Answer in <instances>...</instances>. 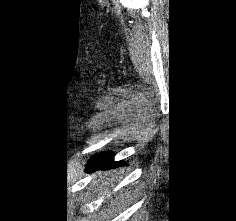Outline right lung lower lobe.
Segmentation results:
<instances>
[{
    "label": "right lung lower lobe",
    "mask_w": 236,
    "mask_h": 221,
    "mask_svg": "<svg viewBox=\"0 0 236 221\" xmlns=\"http://www.w3.org/2000/svg\"><path fill=\"white\" fill-rule=\"evenodd\" d=\"M112 153H101L92 157L87 164L86 172H93L98 169L114 168L125 164L123 161L114 162Z\"/></svg>",
    "instance_id": "1"
}]
</instances>
